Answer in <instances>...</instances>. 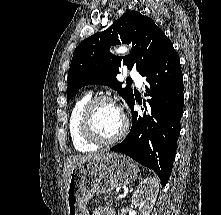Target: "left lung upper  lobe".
<instances>
[{
    "instance_id": "left-lung-upper-lobe-1",
    "label": "left lung upper lobe",
    "mask_w": 221,
    "mask_h": 215,
    "mask_svg": "<svg viewBox=\"0 0 221 215\" xmlns=\"http://www.w3.org/2000/svg\"><path fill=\"white\" fill-rule=\"evenodd\" d=\"M130 44L133 52L124 58L109 52L111 45ZM171 41L154 21L137 11L121 16L105 31L83 40L74 50L68 72L67 98L85 85H107L129 103L134 94L130 87L122 88L116 78L122 65L137 68L143 75L158 60Z\"/></svg>"
}]
</instances>
